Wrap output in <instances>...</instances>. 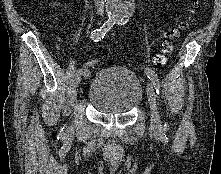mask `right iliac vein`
Returning a JSON list of instances; mask_svg holds the SVG:
<instances>
[{
	"label": "right iliac vein",
	"instance_id": "63e3f726",
	"mask_svg": "<svg viewBox=\"0 0 221 174\" xmlns=\"http://www.w3.org/2000/svg\"><path fill=\"white\" fill-rule=\"evenodd\" d=\"M81 78H82V72L81 70H78L75 74L74 77V86L77 88L81 82Z\"/></svg>",
	"mask_w": 221,
	"mask_h": 174
}]
</instances>
